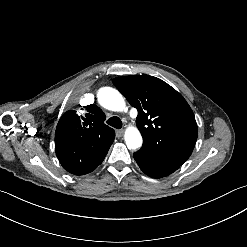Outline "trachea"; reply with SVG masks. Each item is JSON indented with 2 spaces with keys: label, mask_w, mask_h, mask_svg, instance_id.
<instances>
[{
  "label": "trachea",
  "mask_w": 247,
  "mask_h": 247,
  "mask_svg": "<svg viewBox=\"0 0 247 247\" xmlns=\"http://www.w3.org/2000/svg\"><path fill=\"white\" fill-rule=\"evenodd\" d=\"M107 123L111 125L112 127H115L117 129H120L122 127V121L119 119V117L114 116L107 120Z\"/></svg>",
  "instance_id": "1"
}]
</instances>
